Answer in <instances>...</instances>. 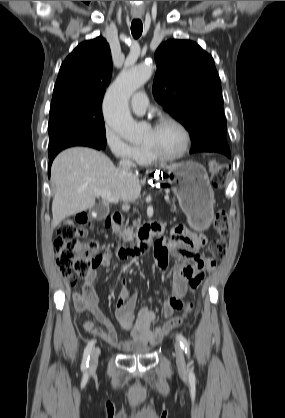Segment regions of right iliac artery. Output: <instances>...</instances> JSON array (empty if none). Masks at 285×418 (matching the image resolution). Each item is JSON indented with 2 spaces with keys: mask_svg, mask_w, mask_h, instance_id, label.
Returning <instances> with one entry per match:
<instances>
[{
  "mask_svg": "<svg viewBox=\"0 0 285 418\" xmlns=\"http://www.w3.org/2000/svg\"><path fill=\"white\" fill-rule=\"evenodd\" d=\"M95 344V340H91L85 350H84V354H83V359H82V363H81V369L83 371H87L88 367H89V358H90V354L92 351V348L94 347Z\"/></svg>",
  "mask_w": 285,
  "mask_h": 418,
  "instance_id": "obj_1",
  "label": "right iliac artery"
}]
</instances>
